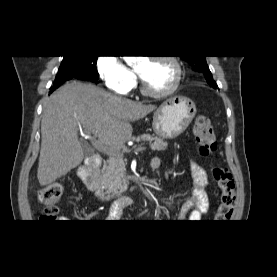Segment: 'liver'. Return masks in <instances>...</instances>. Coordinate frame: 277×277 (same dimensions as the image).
<instances>
[{
    "label": "liver",
    "instance_id": "6515ba94",
    "mask_svg": "<svg viewBox=\"0 0 277 277\" xmlns=\"http://www.w3.org/2000/svg\"><path fill=\"white\" fill-rule=\"evenodd\" d=\"M156 109L113 96L95 85L71 82L47 99L41 120V150L37 178L40 186L53 183L76 168L84 159L78 129L118 151L131 138V122Z\"/></svg>",
    "mask_w": 277,
    "mask_h": 277
}]
</instances>
